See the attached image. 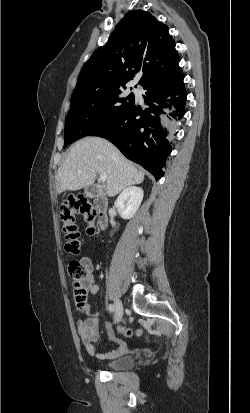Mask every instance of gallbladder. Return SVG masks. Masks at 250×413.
<instances>
[{
	"label": "gallbladder",
	"instance_id": "1",
	"mask_svg": "<svg viewBox=\"0 0 250 413\" xmlns=\"http://www.w3.org/2000/svg\"><path fill=\"white\" fill-rule=\"evenodd\" d=\"M94 192H95V188L93 186H89L85 189V195L87 197H93Z\"/></svg>",
	"mask_w": 250,
	"mask_h": 413
}]
</instances>
